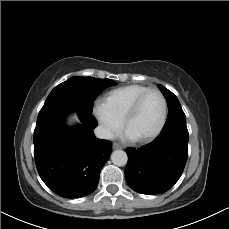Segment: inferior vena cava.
<instances>
[{"mask_svg": "<svg viewBox=\"0 0 229 229\" xmlns=\"http://www.w3.org/2000/svg\"><path fill=\"white\" fill-rule=\"evenodd\" d=\"M94 133L95 136L99 139L111 140L114 137L113 133L103 126H98L97 128H95Z\"/></svg>", "mask_w": 229, "mask_h": 229, "instance_id": "1", "label": "inferior vena cava"}]
</instances>
